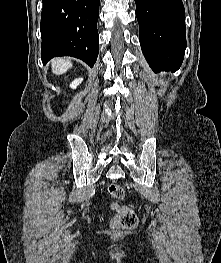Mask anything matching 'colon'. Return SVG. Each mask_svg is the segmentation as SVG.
<instances>
[{
  "instance_id": "1",
  "label": "colon",
  "mask_w": 221,
  "mask_h": 263,
  "mask_svg": "<svg viewBox=\"0 0 221 263\" xmlns=\"http://www.w3.org/2000/svg\"><path fill=\"white\" fill-rule=\"evenodd\" d=\"M113 199L111 208L117 213L113 218V225L118 229L131 230L137 226L138 218L135 211L128 206H120L118 202L124 198V189L118 184H110L107 188Z\"/></svg>"
}]
</instances>
